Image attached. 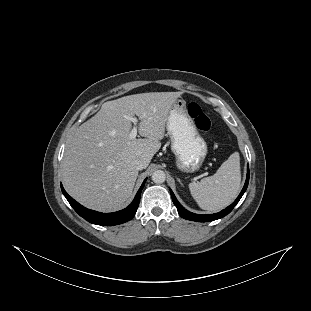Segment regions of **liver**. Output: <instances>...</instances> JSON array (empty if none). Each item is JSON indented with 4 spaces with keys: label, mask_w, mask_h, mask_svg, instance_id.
<instances>
[{
    "label": "liver",
    "mask_w": 311,
    "mask_h": 311,
    "mask_svg": "<svg viewBox=\"0 0 311 311\" xmlns=\"http://www.w3.org/2000/svg\"><path fill=\"white\" fill-rule=\"evenodd\" d=\"M183 92L134 94L103 104L80 125L65 149L62 180L67 192L84 206L103 212L122 209L129 201L141 158L147 168L161 148L173 104ZM141 119L139 135L130 138L132 122Z\"/></svg>",
    "instance_id": "obj_1"
}]
</instances>
